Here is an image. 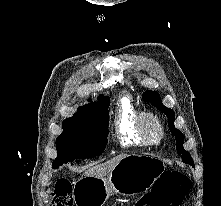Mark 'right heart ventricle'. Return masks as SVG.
Returning a JSON list of instances; mask_svg holds the SVG:
<instances>
[{"instance_id":"right-heart-ventricle-1","label":"right heart ventricle","mask_w":221,"mask_h":206,"mask_svg":"<svg viewBox=\"0 0 221 206\" xmlns=\"http://www.w3.org/2000/svg\"><path fill=\"white\" fill-rule=\"evenodd\" d=\"M140 111L128 95L119 97L114 116L116 137L122 146H146L137 127V117Z\"/></svg>"}]
</instances>
